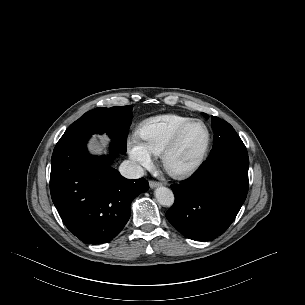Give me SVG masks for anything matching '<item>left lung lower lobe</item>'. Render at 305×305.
I'll use <instances>...</instances> for the list:
<instances>
[{"label": "left lung lower lobe", "instance_id": "left-lung-lower-lobe-1", "mask_svg": "<svg viewBox=\"0 0 305 305\" xmlns=\"http://www.w3.org/2000/svg\"><path fill=\"white\" fill-rule=\"evenodd\" d=\"M247 152H227L208 159L187 181L171 185L175 202L169 222L192 240L210 241L226 231L248 192Z\"/></svg>", "mask_w": 305, "mask_h": 305}]
</instances>
